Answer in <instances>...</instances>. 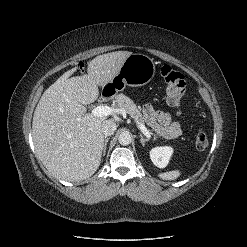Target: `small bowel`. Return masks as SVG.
Here are the masks:
<instances>
[{"label":"small bowel","instance_id":"obj_1","mask_svg":"<svg viewBox=\"0 0 247 247\" xmlns=\"http://www.w3.org/2000/svg\"><path fill=\"white\" fill-rule=\"evenodd\" d=\"M143 114L146 122L161 136L165 138H176L182 130L181 125L173 121L171 115L166 111H157L151 104H145Z\"/></svg>","mask_w":247,"mask_h":247}]
</instances>
